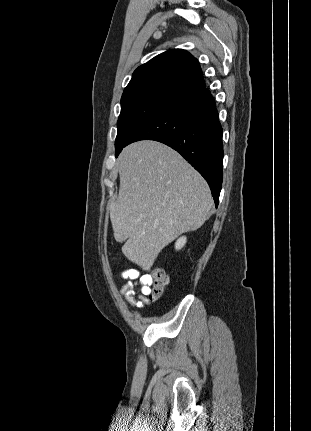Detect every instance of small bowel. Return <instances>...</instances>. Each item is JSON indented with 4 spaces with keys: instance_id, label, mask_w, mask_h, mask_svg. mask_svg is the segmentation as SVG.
I'll return each instance as SVG.
<instances>
[{
    "instance_id": "small-bowel-1",
    "label": "small bowel",
    "mask_w": 311,
    "mask_h": 431,
    "mask_svg": "<svg viewBox=\"0 0 311 431\" xmlns=\"http://www.w3.org/2000/svg\"><path fill=\"white\" fill-rule=\"evenodd\" d=\"M118 277L121 280H128L120 289L126 301L136 309L144 308L149 303V275H143L136 269H128L120 272Z\"/></svg>"
}]
</instances>
